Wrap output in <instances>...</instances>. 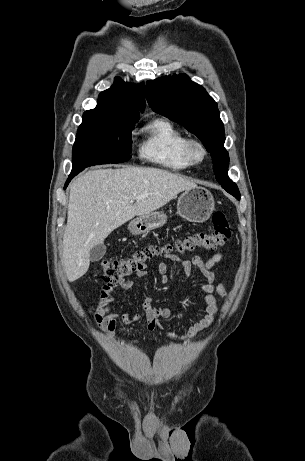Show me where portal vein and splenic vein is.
I'll list each match as a JSON object with an SVG mask.
<instances>
[{"mask_svg":"<svg viewBox=\"0 0 305 461\" xmlns=\"http://www.w3.org/2000/svg\"><path fill=\"white\" fill-rule=\"evenodd\" d=\"M141 197H134L133 199H140ZM133 199L131 201H133Z\"/></svg>","mask_w":305,"mask_h":461,"instance_id":"obj_1","label":"portal vein and splenic vein"}]
</instances>
